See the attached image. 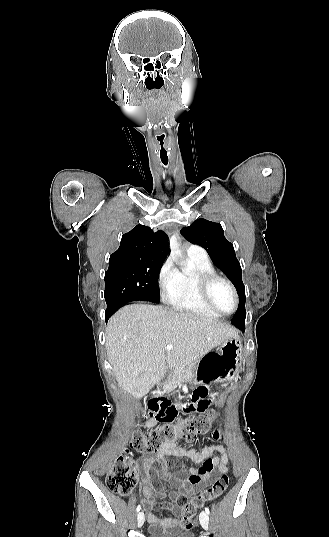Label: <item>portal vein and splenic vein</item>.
<instances>
[{
    "instance_id": "18ae733b",
    "label": "portal vein and splenic vein",
    "mask_w": 329,
    "mask_h": 537,
    "mask_svg": "<svg viewBox=\"0 0 329 537\" xmlns=\"http://www.w3.org/2000/svg\"><path fill=\"white\" fill-rule=\"evenodd\" d=\"M172 348H173V345H172V344H169V345H167L166 350L169 351V350H171Z\"/></svg>"
}]
</instances>
